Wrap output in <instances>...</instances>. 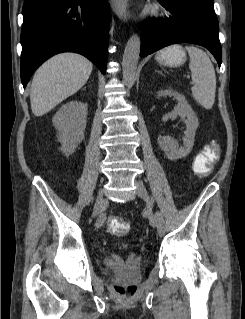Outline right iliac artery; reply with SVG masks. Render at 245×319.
I'll return each instance as SVG.
<instances>
[{
	"label": "right iliac artery",
	"mask_w": 245,
	"mask_h": 319,
	"mask_svg": "<svg viewBox=\"0 0 245 319\" xmlns=\"http://www.w3.org/2000/svg\"><path fill=\"white\" fill-rule=\"evenodd\" d=\"M100 226L102 225V223H103V221H101V220H98V222H97Z\"/></svg>",
	"instance_id": "obj_1"
}]
</instances>
